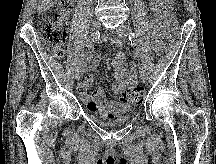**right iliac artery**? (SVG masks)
<instances>
[{
	"label": "right iliac artery",
	"mask_w": 216,
	"mask_h": 164,
	"mask_svg": "<svg viewBox=\"0 0 216 164\" xmlns=\"http://www.w3.org/2000/svg\"><path fill=\"white\" fill-rule=\"evenodd\" d=\"M99 37H100L99 32H96L95 34L91 35V37L87 40L86 48L90 50L94 46V43L99 39ZM87 53L88 52H84L81 58L79 59L80 61L77 62V70L82 68V62L86 57Z\"/></svg>",
	"instance_id": "1"
}]
</instances>
